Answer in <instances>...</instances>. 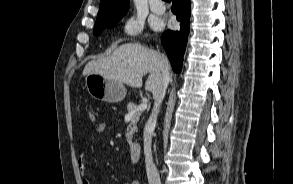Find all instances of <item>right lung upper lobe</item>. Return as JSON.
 I'll return each instance as SVG.
<instances>
[{"label":"right lung upper lobe","mask_w":293,"mask_h":184,"mask_svg":"<svg viewBox=\"0 0 293 184\" xmlns=\"http://www.w3.org/2000/svg\"><path fill=\"white\" fill-rule=\"evenodd\" d=\"M129 9V0H101L95 24H105L121 19Z\"/></svg>","instance_id":"1"}]
</instances>
